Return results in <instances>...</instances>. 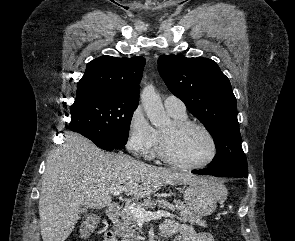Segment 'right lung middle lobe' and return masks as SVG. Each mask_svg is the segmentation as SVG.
<instances>
[{
	"label": "right lung middle lobe",
	"mask_w": 295,
	"mask_h": 241,
	"mask_svg": "<svg viewBox=\"0 0 295 241\" xmlns=\"http://www.w3.org/2000/svg\"><path fill=\"white\" fill-rule=\"evenodd\" d=\"M138 102L92 92L71 106V122L66 126L93 141L104 150L127 143L130 122Z\"/></svg>",
	"instance_id": "right-lung-middle-lobe-1"
}]
</instances>
